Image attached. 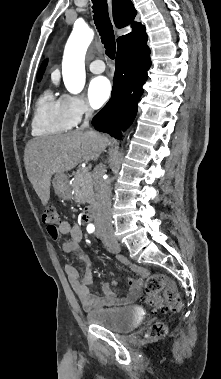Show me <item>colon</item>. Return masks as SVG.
<instances>
[{
  "instance_id": "colon-1",
  "label": "colon",
  "mask_w": 221,
  "mask_h": 379,
  "mask_svg": "<svg viewBox=\"0 0 221 379\" xmlns=\"http://www.w3.org/2000/svg\"><path fill=\"white\" fill-rule=\"evenodd\" d=\"M41 221L48 231L55 233L60 224L58 210L49 206L42 213ZM145 302L155 309L178 312L182 307V299L174 281L168 277L153 273L148 276L145 284ZM167 333V327L162 322L154 323L148 330V338H159Z\"/></svg>"
}]
</instances>
